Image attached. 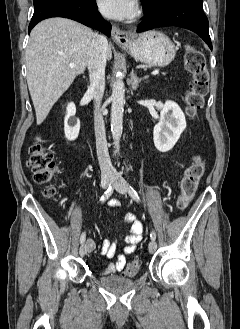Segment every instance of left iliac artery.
<instances>
[{"instance_id":"obj_1","label":"left iliac artery","mask_w":240,"mask_h":329,"mask_svg":"<svg viewBox=\"0 0 240 329\" xmlns=\"http://www.w3.org/2000/svg\"><path fill=\"white\" fill-rule=\"evenodd\" d=\"M129 195L134 200H136L137 202L140 200L136 190L131 186H129ZM150 237H151L152 240H155L156 239V233L154 231H152L151 234H150Z\"/></svg>"}]
</instances>
